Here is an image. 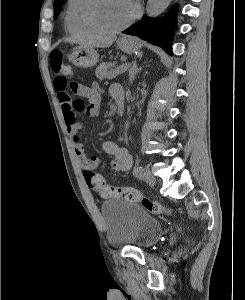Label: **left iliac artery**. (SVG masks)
Wrapping results in <instances>:
<instances>
[{
    "instance_id": "left-iliac-artery-1",
    "label": "left iliac artery",
    "mask_w": 245,
    "mask_h": 300,
    "mask_svg": "<svg viewBox=\"0 0 245 300\" xmlns=\"http://www.w3.org/2000/svg\"><path fill=\"white\" fill-rule=\"evenodd\" d=\"M143 171H144L143 167L137 166V167L134 168L133 173H134V175H135L137 178L143 179V178H144Z\"/></svg>"
}]
</instances>
